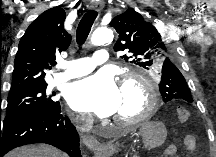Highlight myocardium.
<instances>
[{
    "mask_svg": "<svg viewBox=\"0 0 216 157\" xmlns=\"http://www.w3.org/2000/svg\"><path fill=\"white\" fill-rule=\"evenodd\" d=\"M127 84H137L144 90L145 107L142 112L134 118L122 119L115 117V121L126 127H134L147 121L153 115L159 103V95L151 80L140 72H125L122 75L121 87Z\"/></svg>",
    "mask_w": 216,
    "mask_h": 157,
    "instance_id": "1",
    "label": "myocardium"
}]
</instances>
